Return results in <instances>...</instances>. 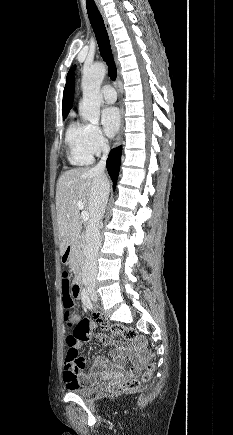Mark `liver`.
I'll use <instances>...</instances> for the list:
<instances>
[{
    "instance_id": "1",
    "label": "liver",
    "mask_w": 233,
    "mask_h": 435,
    "mask_svg": "<svg viewBox=\"0 0 233 435\" xmlns=\"http://www.w3.org/2000/svg\"><path fill=\"white\" fill-rule=\"evenodd\" d=\"M94 177V173L89 168H75L65 171L58 179L56 210L61 255L81 232L80 209L77 207V202H83L84 209L89 211Z\"/></svg>"
}]
</instances>
